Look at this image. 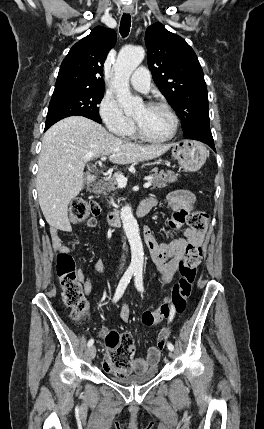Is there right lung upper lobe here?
<instances>
[{
  "label": "right lung upper lobe",
  "mask_w": 264,
  "mask_h": 429,
  "mask_svg": "<svg viewBox=\"0 0 264 429\" xmlns=\"http://www.w3.org/2000/svg\"><path fill=\"white\" fill-rule=\"evenodd\" d=\"M116 33L101 26L74 44L63 60L55 90L86 88L104 90L103 64L115 45Z\"/></svg>",
  "instance_id": "obj_1"
}]
</instances>
